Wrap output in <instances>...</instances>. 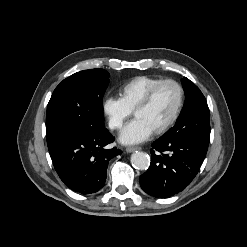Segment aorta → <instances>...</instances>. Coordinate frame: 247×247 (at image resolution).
Returning a JSON list of instances; mask_svg holds the SVG:
<instances>
[{"mask_svg":"<svg viewBox=\"0 0 247 247\" xmlns=\"http://www.w3.org/2000/svg\"><path fill=\"white\" fill-rule=\"evenodd\" d=\"M131 163L138 170H146L150 166V157L144 152H135L131 155Z\"/></svg>","mask_w":247,"mask_h":247,"instance_id":"aorta-1","label":"aorta"}]
</instances>
